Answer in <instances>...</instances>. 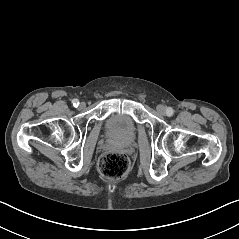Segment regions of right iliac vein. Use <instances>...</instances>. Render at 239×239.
Instances as JSON below:
<instances>
[{
    "label": "right iliac vein",
    "instance_id": "right-iliac-vein-1",
    "mask_svg": "<svg viewBox=\"0 0 239 239\" xmlns=\"http://www.w3.org/2000/svg\"><path fill=\"white\" fill-rule=\"evenodd\" d=\"M85 106H86V104H85L84 102H81L80 105H79V108H80V109H84Z\"/></svg>",
    "mask_w": 239,
    "mask_h": 239
}]
</instances>
